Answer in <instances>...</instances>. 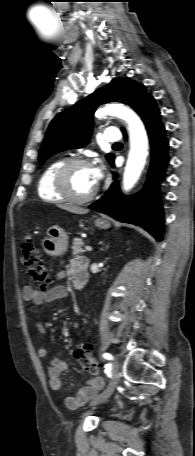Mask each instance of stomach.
Wrapping results in <instances>:
<instances>
[{"label":"stomach","instance_id":"stomach-1","mask_svg":"<svg viewBox=\"0 0 195 456\" xmlns=\"http://www.w3.org/2000/svg\"><path fill=\"white\" fill-rule=\"evenodd\" d=\"M95 226L100 229L110 228L108 221L104 219H96ZM48 241L44 243V250L50 255L63 254L68 247V236L67 233L59 226H51L47 230Z\"/></svg>","mask_w":195,"mask_h":456}]
</instances>
